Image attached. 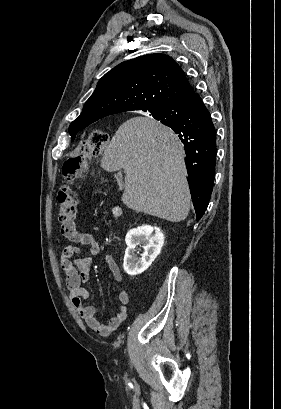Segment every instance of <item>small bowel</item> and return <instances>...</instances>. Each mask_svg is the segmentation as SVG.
<instances>
[{
    "instance_id": "c3829d8e",
    "label": "small bowel",
    "mask_w": 281,
    "mask_h": 409,
    "mask_svg": "<svg viewBox=\"0 0 281 409\" xmlns=\"http://www.w3.org/2000/svg\"><path fill=\"white\" fill-rule=\"evenodd\" d=\"M61 232L72 242L63 248L60 257L61 268L66 276V287L72 304L90 328L102 336H107L126 319L130 300L129 292L125 289L119 291V306L115 315L107 324L101 323L97 317L99 308L94 305H85V301L90 297V292L83 286L90 279L91 256L100 252V245L92 234L80 232L74 221L62 224ZM79 246L86 247L89 255L76 257L80 251ZM105 262L108 273L116 281H122L123 277L114 257L106 255Z\"/></svg>"
}]
</instances>
